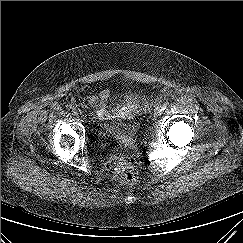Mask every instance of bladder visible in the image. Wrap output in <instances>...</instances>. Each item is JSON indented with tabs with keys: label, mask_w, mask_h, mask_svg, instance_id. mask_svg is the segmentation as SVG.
<instances>
[{
	"label": "bladder",
	"mask_w": 243,
	"mask_h": 243,
	"mask_svg": "<svg viewBox=\"0 0 243 243\" xmlns=\"http://www.w3.org/2000/svg\"><path fill=\"white\" fill-rule=\"evenodd\" d=\"M114 130L111 129L109 126H103L101 128L98 129L97 131V137L99 140L103 141L106 138H108V136L110 134H113ZM132 136H134V133L131 134Z\"/></svg>",
	"instance_id": "bladder-1"
}]
</instances>
